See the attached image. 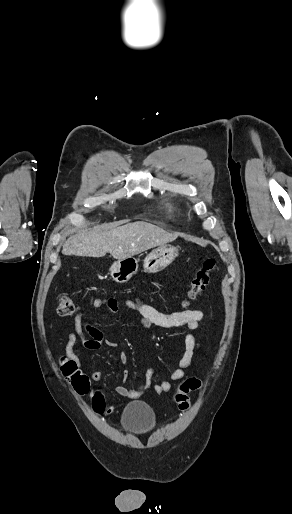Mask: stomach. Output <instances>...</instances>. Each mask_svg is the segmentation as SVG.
<instances>
[{
	"label": "stomach",
	"instance_id": "1",
	"mask_svg": "<svg viewBox=\"0 0 292 514\" xmlns=\"http://www.w3.org/2000/svg\"><path fill=\"white\" fill-rule=\"evenodd\" d=\"M177 256V248H169V246H160L156 250H152L146 258L143 260L144 272L149 274H156L161 272L164 268H167ZM138 270V262L130 256V258H124V260H117L110 268V276L114 282L118 284H125L128 280H131L132 276L136 274Z\"/></svg>",
	"mask_w": 292,
	"mask_h": 514
}]
</instances>
